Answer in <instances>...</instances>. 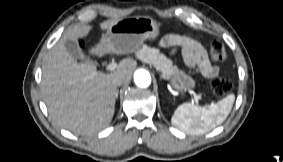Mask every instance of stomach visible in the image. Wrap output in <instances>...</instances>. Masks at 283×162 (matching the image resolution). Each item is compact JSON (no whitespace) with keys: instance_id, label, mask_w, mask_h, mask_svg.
<instances>
[{"instance_id":"stomach-1","label":"stomach","mask_w":283,"mask_h":162,"mask_svg":"<svg viewBox=\"0 0 283 162\" xmlns=\"http://www.w3.org/2000/svg\"><path fill=\"white\" fill-rule=\"evenodd\" d=\"M159 33L160 24L152 17H128L119 19L111 26L100 43H113L116 52L129 53L138 49L145 40H155ZM170 82L181 96L195 87L194 79L183 71L173 74Z\"/></svg>"}]
</instances>
